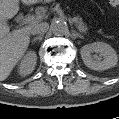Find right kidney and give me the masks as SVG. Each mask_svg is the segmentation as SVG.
Instances as JSON below:
<instances>
[{
  "label": "right kidney",
  "mask_w": 119,
  "mask_h": 119,
  "mask_svg": "<svg viewBox=\"0 0 119 119\" xmlns=\"http://www.w3.org/2000/svg\"><path fill=\"white\" fill-rule=\"evenodd\" d=\"M37 56L34 51H29L21 60L19 65V73L22 76L28 75L33 72L36 66Z\"/></svg>",
  "instance_id": "right-kidney-1"
}]
</instances>
